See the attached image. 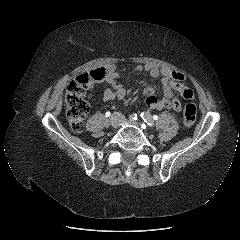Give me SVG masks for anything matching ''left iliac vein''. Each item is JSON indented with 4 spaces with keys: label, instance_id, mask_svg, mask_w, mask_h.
<instances>
[{
    "label": "left iliac vein",
    "instance_id": "left-iliac-vein-1",
    "mask_svg": "<svg viewBox=\"0 0 240 240\" xmlns=\"http://www.w3.org/2000/svg\"><path fill=\"white\" fill-rule=\"evenodd\" d=\"M129 124H132V125H135V126H138V123H134V122H129Z\"/></svg>",
    "mask_w": 240,
    "mask_h": 240
}]
</instances>
